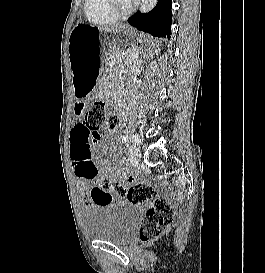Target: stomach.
I'll return each mask as SVG.
<instances>
[{
  "label": "stomach",
  "instance_id": "obj_1",
  "mask_svg": "<svg viewBox=\"0 0 265 273\" xmlns=\"http://www.w3.org/2000/svg\"><path fill=\"white\" fill-rule=\"evenodd\" d=\"M147 39V35H136L128 27L103 29L78 23L68 41L75 95H92L98 78H109L111 69H117V64H131L142 55L137 49H154L160 44L159 40Z\"/></svg>",
  "mask_w": 265,
  "mask_h": 273
}]
</instances>
